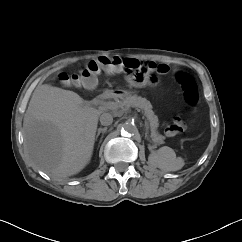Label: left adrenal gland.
<instances>
[{
    "mask_svg": "<svg viewBox=\"0 0 242 242\" xmlns=\"http://www.w3.org/2000/svg\"><path fill=\"white\" fill-rule=\"evenodd\" d=\"M146 128H148V127H146ZM147 134H148V130L146 129V133H145L146 138L148 137Z\"/></svg>",
    "mask_w": 242,
    "mask_h": 242,
    "instance_id": "left-adrenal-gland-1",
    "label": "left adrenal gland"
}]
</instances>
